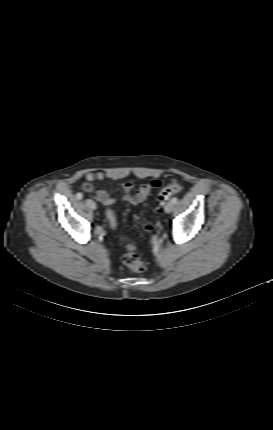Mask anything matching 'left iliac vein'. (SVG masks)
<instances>
[{"label": "left iliac vein", "instance_id": "obj_1", "mask_svg": "<svg viewBox=\"0 0 273 430\" xmlns=\"http://www.w3.org/2000/svg\"><path fill=\"white\" fill-rule=\"evenodd\" d=\"M174 209V204L172 202L166 203L164 210L166 213H170Z\"/></svg>", "mask_w": 273, "mask_h": 430}]
</instances>
